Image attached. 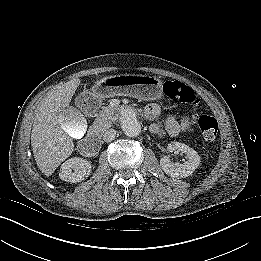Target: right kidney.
<instances>
[{
  "label": "right kidney",
  "mask_w": 261,
  "mask_h": 261,
  "mask_svg": "<svg viewBox=\"0 0 261 261\" xmlns=\"http://www.w3.org/2000/svg\"><path fill=\"white\" fill-rule=\"evenodd\" d=\"M84 130V128L81 129L79 137L83 135ZM91 170L92 166L89 161L73 157L61 165L59 176L66 182L77 183L86 179L90 175Z\"/></svg>",
  "instance_id": "right-kidney-1"
}]
</instances>
